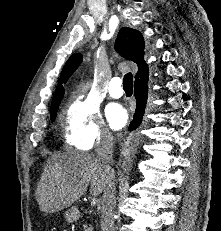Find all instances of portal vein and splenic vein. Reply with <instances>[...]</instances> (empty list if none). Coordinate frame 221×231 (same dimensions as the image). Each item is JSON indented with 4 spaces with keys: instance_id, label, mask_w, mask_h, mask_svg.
I'll list each match as a JSON object with an SVG mask.
<instances>
[{
    "instance_id": "obj_1",
    "label": "portal vein and splenic vein",
    "mask_w": 221,
    "mask_h": 231,
    "mask_svg": "<svg viewBox=\"0 0 221 231\" xmlns=\"http://www.w3.org/2000/svg\"><path fill=\"white\" fill-rule=\"evenodd\" d=\"M98 203V200L96 198H92L91 205L95 206Z\"/></svg>"
}]
</instances>
